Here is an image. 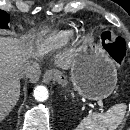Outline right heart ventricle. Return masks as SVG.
<instances>
[{
    "instance_id": "e07e8e85",
    "label": "right heart ventricle",
    "mask_w": 130,
    "mask_h": 130,
    "mask_svg": "<svg viewBox=\"0 0 130 130\" xmlns=\"http://www.w3.org/2000/svg\"><path fill=\"white\" fill-rule=\"evenodd\" d=\"M65 40V36L61 35L58 38H47L39 41L36 45L37 54L42 56L49 52L52 48H54L57 44L63 42Z\"/></svg>"
}]
</instances>
